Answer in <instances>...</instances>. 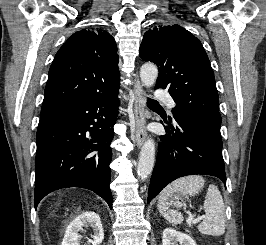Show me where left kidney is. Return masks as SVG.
<instances>
[{"label": "left kidney", "mask_w": 266, "mask_h": 245, "mask_svg": "<svg viewBox=\"0 0 266 245\" xmlns=\"http://www.w3.org/2000/svg\"><path fill=\"white\" fill-rule=\"evenodd\" d=\"M163 245H196L195 241L189 237V235H185V233H179V231H175V229H164L163 237H162Z\"/></svg>", "instance_id": "obj_1"}]
</instances>
